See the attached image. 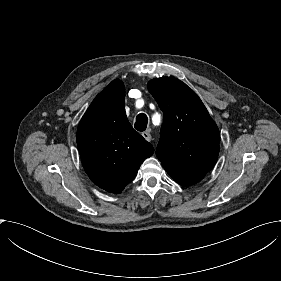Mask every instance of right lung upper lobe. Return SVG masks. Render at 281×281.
I'll return each instance as SVG.
<instances>
[{"instance_id":"right-lung-upper-lobe-1","label":"right lung upper lobe","mask_w":281,"mask_h":281,"mask_svg":"<svg viewBox=\"0 0 281 281\" xmlns=\"http://www.w3.org/2000/svg\"><path fill=\"white\" fill-rule=\"evenodd\" d=\"M77 145L85 172L110 193H120L154 149L128 122L125 88L112 81L93 100L77 129Z\"/></svg>"}]
</instances>
